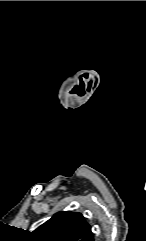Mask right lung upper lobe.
I'll return each instance as SVG.
<instances>
[{
  "label": "right lung upper lobe",
  "instance_id": "1",
  "mask_svg": "<svg viewBox=\"0 0 146 241\" xmlns=\"http://www.w3.org/2000/svg\"><path fill=\"white\" fill-rule=\"evenodd\" d=\"M33 241H94L91 226L81 213L61 211L31 234Z\"/></svg>",
  "mask_w": 146,
  "mask_h": 241
}]
</instances>
